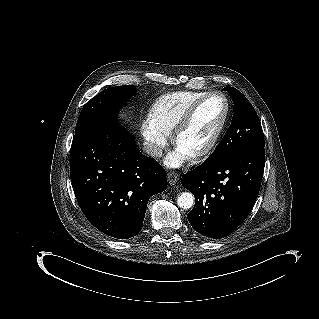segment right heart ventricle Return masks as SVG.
<instances>
[{
    "instance_id": "right-heart-ventricle-1",
    "label": "right heart ventricle",
    "mask_w": 319,
    "mask_h": 319,
    "mask_svg": "<svg viewBox=\"0 0 319 319\" xmlns=\"http://www.w3.org/2000/svg\"><path fill=\"white\" fill-rule=\"evenodd\" d=\"M204 92L178 91L167 93L153 104L148 121L155 124L165 132H170L188 108L200 99Z\"/></svg>"
}]
</instances>
